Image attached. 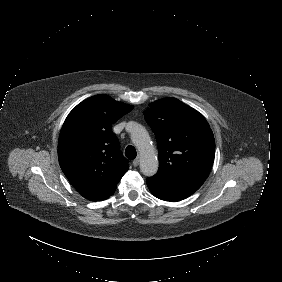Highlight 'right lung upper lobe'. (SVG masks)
Listing matches in <instances>:
<instances>
[{"mask_svg":"<svg viewBox=\"0 0 282 282\" xmlns=\"http://www.w3.org/2000/svg\"><path fill=\"white\" fill-rule=\"evenodd\" d=\"M132 109L100 94L78 104L63 124L59 164L72 186L88 200L100 201L113 195L129 168L112 124Z\"/></svg>","mask_w":282,"mask_h":282,"instance_id":"1","label":"right lung upper lobe"}]
</instances>
